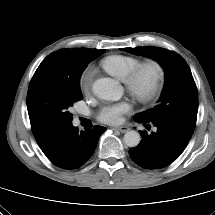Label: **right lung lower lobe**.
Returning a JSON list of instances; mask_svg holds the SVG:
<instances>
[{"label":"right lung lower lobe","instance_id":"1","mask_svg":"<svg viewBox=\"0 0 215 215\" xmlns=\"http://www.w3.org/2000/svg\"><path fill=\"white\" fill-rule=\"evenodd\" d=\"M104 131L106 128L102 126L79 131L71 125L42 151L54 165L68 170L76 169L93 155L98 139Z\"/></svg>","mask_w":215,"mask_h":215}]
</instances>
